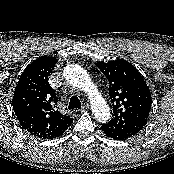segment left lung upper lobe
<instances>
[{
	"instance_id": "1",
	"label": "left lung upper lobe",
	"mask_w": 174,
	"mask_h": 174,
	"mask_svg": "<svg viewBox=\"0 0 174 174\" xmlns=\"http://www.w3.org/2000/svg\"><path fill=\"white\" fill-rule=\"evenodd\" d=\"M96 66L109 82L113 106L112 119L103 125L119 134H137L146 125L152 104L149 87L142 75L124 59L102 61Z\"/></svg>"
}]
</instances>
